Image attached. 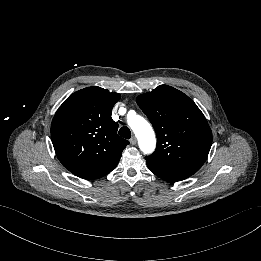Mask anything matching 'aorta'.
<instances>
[{"label":"aorta","mask_w":261,"mask_h":261,"mask_svg":"<svg viewBox=\"0 0 261 261\" xmlns=\"http://www.w3.org/2000/svg\"><path fill=\"white\" fill-rule=\"evenodd\" d=\"M128 124L138 139L141 151L145 154H151L155 149L156 140L150 124L134 112H129Z\"/></svg>","instance_id":"762f6f07"}]
</instances>
